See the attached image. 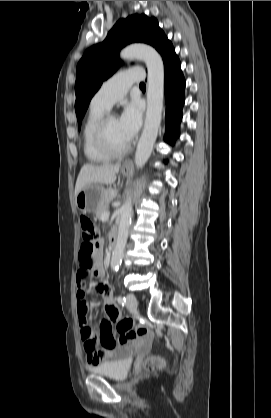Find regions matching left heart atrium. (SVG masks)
I'll list each match as a JSON object with an SVG mask.
<instances>
[{
  "instance_id": "1",
  "label": "left heart atrium",
  "mask_w": 271,
  "mask_h": 418,
  "mask_svg": "<svg viewBox=\"0 0 271 418\" xmlns=\"http://www.w3.org/2000/svg\"><path fill=\"white\" fill-rule=\"evenodd\" d=\"M125 138L130 141L139 131L142 124V112L137 102L128 103L119 119Z\"/></svg>"
}]
</instances>
